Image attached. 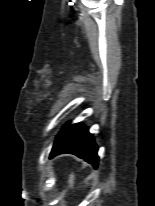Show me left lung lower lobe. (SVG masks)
Masks as SVG:
<instances>
[{
    "mask_svg": "<svg viewBox=\"0 0 155 206\" xmlns=\"http://www.w3.org/2000/svg\"><path fill=\"white\" fill-rule=\"evenodd\" d=\"M98 148L93 135L81 123L75 124L73 128L53 145L50 158L62 154L71 153L92 164L98 166Z\"/></svg>",
    "mask_w": 155,
    "mask_h": 206,
    "instance_id": "obj_1",
    "label": "left lung lower lobe"
}]
</instances>
